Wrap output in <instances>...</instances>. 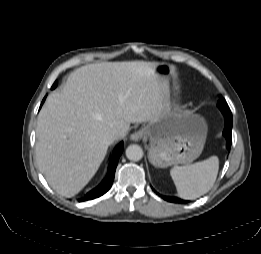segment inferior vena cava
Segmentation results:
<instances>
[{"mask_svg": "<svg viewBox=\"0 0 261 254\" xmlns=\"http://www.w3.org/2000/svg\"><path fill=\"white\" fill-rule=\"evenodd\" d=\"M118 136H119V131L118 130H113L111 131L107 137H106V141L108 144H111L113 143L115 140L118 139Z\"/></svg>", "mask_w": 261, "mask_h": 254, "instance_id": "602c4592", "label": "inferior vena cava"}]
</instances>
